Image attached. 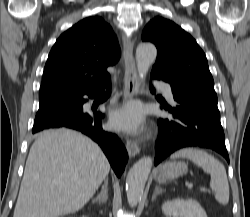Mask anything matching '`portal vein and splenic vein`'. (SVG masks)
Here are the masks:
<instances>
[{"label":"portal vein and splenic vein","mask_w":250,"mask_h":217,"mask_svg":"<svg viewBox=\"0 0 250 217\" xmlns=\"http://www.w3.org/2000/svg\"><path fill=\"white\" fill-rule=\"evenodd\" d=\"M192 187H193V184H192V183H189V184H188V188H192ZM202 189H203V190H206V191H208V192H211V190L208 189V188L203 187Z\"/></svg>","instance_id":"portal-vein-and-splenic-vein-1"}]
</instances>
